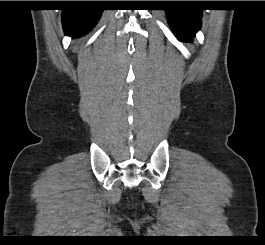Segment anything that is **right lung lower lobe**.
Segmentation results:
<instances>
[{"instance_id":"right-lung-lower-lobe-1","label":"right lung lower lobe","mask_w":265,"mask_h":245,"mask_svg":"<svg viewBox=\"0 0 265 245\" xmlns=\"http://www.w3.org/2000/svg\"><path fill=\"white\" fill-rule=\"evenodd\" d=\"M102 10L94 6L84 5L76 9H66L62 12L65 34L79 37L86 33L100 17Z\"/></svg>"}]
</instances>
